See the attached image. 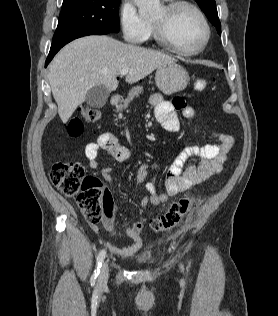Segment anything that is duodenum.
<instances>
[{
  "instance_id": "1",
  "label": "duodenum",
  "mask_w": 278,
  "mask_h": 316,
  "mask_svg": "<svg viewBox=\"0 0 278 316\" xmlns=\"http://www.w3.org/2000/svg\"><path fill=\"white\" fill-rule=\"evenodd\" d=\"M119 100H120V97L118 95H113L110 98V104L111 105H116V104H118Z\"/></svg>"
}]
</instances>
